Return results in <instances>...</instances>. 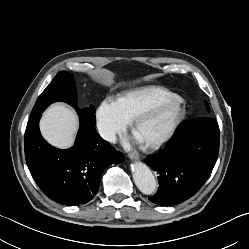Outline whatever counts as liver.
<instances>
[{
    "label": "liver",
    "mask_w": 249,
    "mask_h": 249,
    "mask_svg": "<svg viewBox=\"0 0 249 249\" xmlns=\"http://www.w3.org/2000/svg\"><path fill=\"white\" fill-rule=\"evenodd\" d=\"M78 127L77 114L62 103L51 105L40 121V130L45 140L62 149L73 145Z\"/></svg>",
    "instance_id": "1"
}]
</instances>
